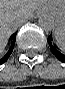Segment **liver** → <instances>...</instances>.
<instances>
[{
  "label": "liver",
  "mask_w": 65,
  "mask_h": 89,
  "mask_svg": "<svg viewBox=\"0 0 65 89\" xmlns=\"http://www.w3.org/2000/svg\"><path fill=\"white\" fill-rule=\"evenodd\" d=\"M64 1H58L62 4ZM56 3L53 0H0V49L4 50L15 28V23L28 19L42 5Z\"/></svg>",
  "instance_id": "obj_1"
}]
</instances>
